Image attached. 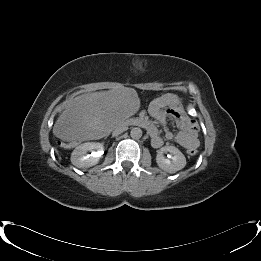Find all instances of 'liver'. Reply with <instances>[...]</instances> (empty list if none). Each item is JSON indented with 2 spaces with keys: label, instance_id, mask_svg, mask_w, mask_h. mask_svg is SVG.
<instances>
[{
  "label": "liver",
  "instance_id": "liver-1",
  "mask_svg": "<svg viewBox=\"0 0 261 261\" xmlns=\"http://www.w3.org/2000/svg\"><path fill=\"white\" fill-rule=\"evenodd\" d=\"M137 98L124 87L78 96L58 117L53 134L64 141L100 139L136 113Z\"/></svg>",
  "mask_w": 261,
  "mask_h": 261
}]
</instances>
